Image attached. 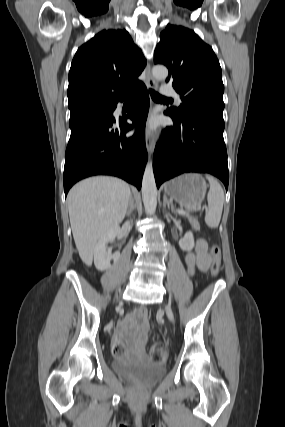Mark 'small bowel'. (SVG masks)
I'll return each mask as SVG.
<instances>
[{
    "mask_svg": "<svg viewBox=\"0 0 285 427\" xmlns=\"http://www.w3.org/2000/svg\"><path fill=\"white\" fill-rule=\"evenodd\" d=\"M187 271L194 275L196 270L207 271L211 266V256L208 254V245L204 239H197L195 250L185 258ZM147 310L138 307L131 311L119 324L116 339L122 341L126 347V360H147Z\"/></svg>",
    "mask_w": 285,
    "mask_h": 427,
    "instance_id": "obj_1",
    "label": "small bowel"
}]
</instances>
